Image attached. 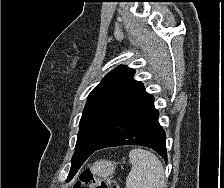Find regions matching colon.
I'll list each match as a JSON object with an SVG mask.
<instances>
[{
  "instance_id": "1",
  "label": "colon",
  "mask_w": 224,
  "mask_h": 188,
  "mask_svg": "<svg viewBox=\"0 0 224 188\" xmlns=\"http://www.w3.org/2000/svg\"><path fill=\"white\" fill-rule=\"evenodd\" d=\"M72 188H119V185L109 178H98L92 169L87 168L73 183Z\"/></svg>"
}]
</instances>
